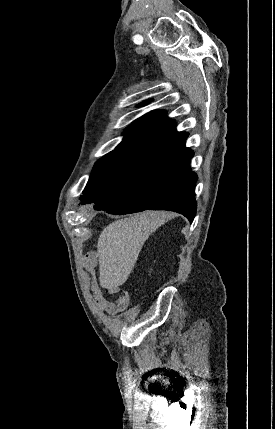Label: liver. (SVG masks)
I'll return each mask as SVG.
<instances>
[{
    "mask_svg": "<svg viewBox=\"0 0 275 429\" xmlns=\"http://www.w3.org/2000/svg\"><path fill=\"white\" fill-rule=\"evenodd\" d=\"M171 217L167 212L145 211L105 227L97 243L100 285L116 293L128 279L144 242Z\"/></svg>",
    "mask_w": 275,
    "mask_h": 429,
    "instance_id": "obj_1",
    "label": "liver"
}]
</instances>
